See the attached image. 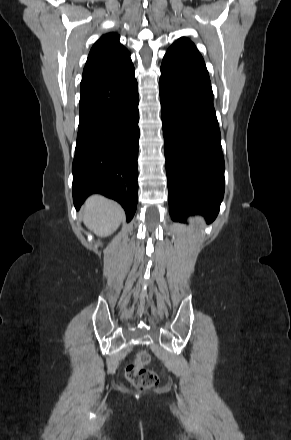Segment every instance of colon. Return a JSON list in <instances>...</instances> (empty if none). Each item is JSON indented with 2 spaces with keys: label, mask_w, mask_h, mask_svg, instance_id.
I'll return each instance as SVG.
<instances>
[{
  "label": "colon",
  "mask_w": 291,
  "mask_h": 440,
  "mask_svg": "<svg viewBox=\"0 0 291 440\" xmlns=\"http://www.w3.org/2000/svg\"><path fill=\"white\" fill-rule=\"evenodd\" d=\"M150 361V354L140 351L126 368V375L137 390H146L158 383L157 373L146 368Z\"/></svg>",
  "instance_id": "colon-1"
}]
</instances>
